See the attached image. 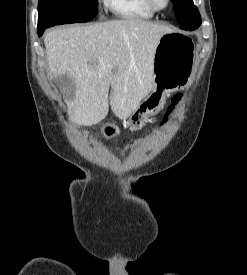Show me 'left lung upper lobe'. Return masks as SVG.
Wrapping results in <instances>:
<instances>
[{
    "label": "left lung upper lobe",
    "mask_w": 247,
    "mask_h": 275,
    "mask_svg": "<svg viewBox=\"0 0 247 275\" xmlns=\"http://www.w3.org/2000/svg\"><path fill=\"white\" fill-rule=\"evenodd\" d=\"M172 2L181 29L192 31L200 26L201 17L192 0H172Z\"/></svg>",
    "instance_id": "left-lung-upper-lobe-1"
}]
</instances>
